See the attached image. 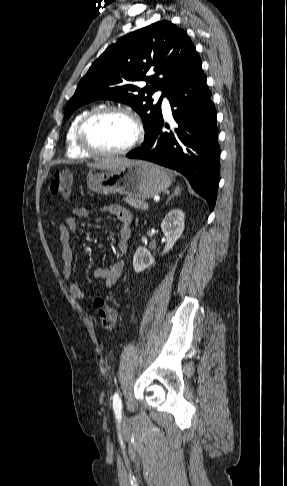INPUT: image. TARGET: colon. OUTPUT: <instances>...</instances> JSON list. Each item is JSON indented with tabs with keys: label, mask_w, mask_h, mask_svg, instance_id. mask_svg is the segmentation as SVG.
I'll return each instance as SVG.
<instances>
[{
	"label": "colon",
	"mask_w": 287,
	"mask_h": 486,
	"mask_svg": "<svg viewBox=\"0 0 287 486\" xmlns=\"http://www.w3.org/2000/svg\"><path fill=\"white\" fill-rule=\"evenodd\" d=\"M72 189V175L68 171H57L51 179L48 191L52 195L68 196ZM101 327L108 331L115 327L117 311L105 299L98 297L94 301Z\"/></svg>",
	"instance_id": "1"
}]
</instances>
